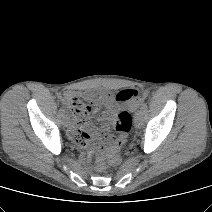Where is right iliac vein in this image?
I'll list each match as a JSON object with an SVG mask.
<instances>
[{
  "label": "right iliac vein",
  "mask_w": 212,
  "mask_h": 212,
  "mask_svg": "<svg viewBox=\"0 0 212 212\" xmlns=\"http://www.w3.org/2000/svg\"><path fill=\"white\" fill-rule=\"evenodd\" d=\"M63 124L65 127H69L71 124L70 118L68 116L63 117Z\"/></svg>",
  "instance_id": "obj_1"
}]
</instances>
